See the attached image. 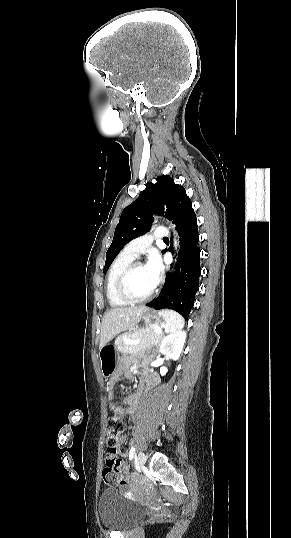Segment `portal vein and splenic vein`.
Returning <instances> with one entry per match:
<instances>
[{"instance_id":"1","label":"portal vein and splenic vein","mask_w":291,"mask_h":538,"mask_svg":"<svg viewBox=\"0 0 291 538\" xmlns=\"http://www.w3.org/2000/svg\"><path fill=\"white\" fill-rule=\"evenodd\" d=\"M154 330H155L156 332H160V331H161V329H159V328H157V327H155ZM134 342H135V343H139L140 340H139V339H136V340H134Z\"/></svg>"}]
</instances>
